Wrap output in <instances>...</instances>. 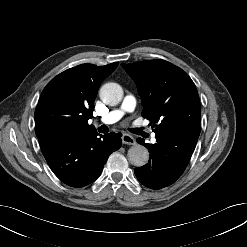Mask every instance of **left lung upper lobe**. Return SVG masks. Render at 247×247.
I'll return each instance as SVG.
<instances>
[{"instance_id":"1","label":"left lung upper lobe","mask_w":247,"mask_h":247,"mask_svg":"<svg viewBox=\"0 0 247 247\" xmlns=\"http://www.w3.org/2000/svg\"><path fill=\"white\" fill-rule=\"evenodd\" d=\"M121 65L135 81L144 106L142 116L150 120L156 134L178 130L199 137V96L195 84L182 69L165 60Z\"/></svg>"}]
</instances>
